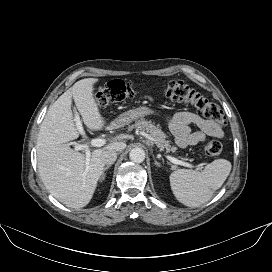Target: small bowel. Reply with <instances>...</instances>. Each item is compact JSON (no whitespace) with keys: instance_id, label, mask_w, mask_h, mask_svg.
<instances>
[{"instance_id":"small-bowel-1","label":"small bowel","mask_w":272,"mask_h":272,"mask_svg":"<svg viewBox=\"0 0 272 272\" xmlns=\"http://www.w3.org/2000/svg\"><path fill=\"white\" fill-rule=\"evenodd\" d=\"M142 99L153 101L149 96ZM168 125L179 147L185 148L204 142L207 137L222 138L221 127L211 120H206L191 112H178L168 119ZM190 125H195L199 131L191 132Z\"/></svg>"}]
</instances>
